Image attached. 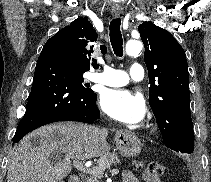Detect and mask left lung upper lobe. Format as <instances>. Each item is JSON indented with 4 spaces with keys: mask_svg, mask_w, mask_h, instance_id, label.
<instances>
[{
    "mask_svg": "<svg viewBox=\"0 0 211 182\" xmlns=\"http://www.w3.org/2000/svg\"><path fill=\"white\" fill-rule=\"evenodd\" d=\"M138 31L145 46L149 104L163 142L170 149L191 154L194 133L185 51L171 33L152 22H143Z\"/></svg>",
    "mask_w": 211,
    "mask_h": 182,
    "instance_id": "5c2ea615",
    "label": "left lung upper lobe"
}]
</instances>
